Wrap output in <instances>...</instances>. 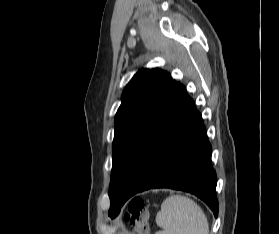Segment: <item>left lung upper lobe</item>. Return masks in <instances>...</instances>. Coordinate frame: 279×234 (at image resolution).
I'll list each match as a JSON object with an SVG mask.
<instances>
[{"label": "left lung upper lobe", "instance_id": "1", "mask_svg": "<svg viewBox=\"0 0 279 234\" xmlns=\"http://www.w3.org/2000/svg\"><path fill=\"white\" fill-rule=\"evenodd\" d=\"M171 83L169 73L160 69L143 68L134 75L123 91L122 103L115 116L109 190L111 218H115L121 210V191L135 155Z\"/></svg>", "mask_w": 279, "mask_h": 234}]
</instances>
